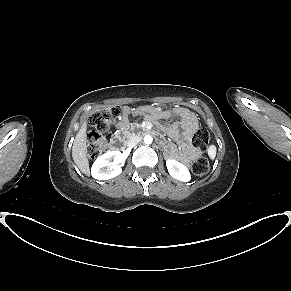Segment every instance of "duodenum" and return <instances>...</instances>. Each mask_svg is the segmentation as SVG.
Segmentation results:
<instances>
[{
	"mask_svg": "<svg viewBox=\"0 0 291 291\" xmlns=\"http://www.w3.org/2000/svg\"><path fill=\"white\" fill-rule=\"evenodd\" d=\"M145 132V134H150V137H154V139L159 140V144H167L166 137H162L161 134H156L151 129H147L146 126H142V124H131L124 127V129L118 130V134L113 135V140L110 143V148L112 151L117 152L124 146L123 135L132 134L134 132Z\"/></svg>",
	"mask_w": 291,
	"mask_h": 291,
	"instance_id": "410a0bca",
	"label": "duodenum"
}]
</instances>
